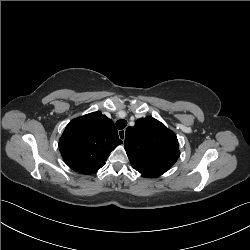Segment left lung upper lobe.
<instances>
[{
	"label": "left lung upper lobe",
	"mask_w": 250,
	"mask_h": 250,
	"mask_svg": "<svg viewBox=\"0 0 250 250\" xmlns=\"http://www.w3.org/2000/svg\"><path fill=\"white\" fill-rule=\"evenodd\" d=\"M124 146L132 167L151 178L170 169L180 155L176 135L149 116L126 129Z\"/></svg>",
	"instance_id": "5c2ea615"
}]
</instances>
